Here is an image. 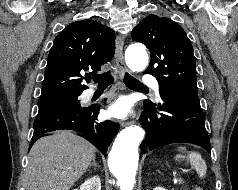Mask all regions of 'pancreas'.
Listing matches in <instances>:
<instances>
[{
    "label": "pancreas",
    "instance_id": "1",
    "mask_svg": "<svg viewBox=\"0 0 238 190\" xmlns=\"http://www.w3.org/2000/svg\"><path fill=\"white\" fill-rule=\"evenodd\" d=\"M176 182H178V183H182V180H181V179H178Z\"/></svg>",
    "mask_w": 238,
    "mask_h": 190
}]
</instances>
